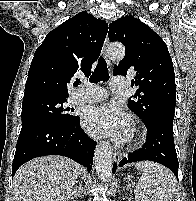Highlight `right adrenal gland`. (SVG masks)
Masks as SVG:
<instances>
[{
  "instance_id": "obj_1",
  "label": "right adrenal gland",
  "mask_w": 196,
  "mask_h": 201,
  "mask_svg": "<svg viewBox=\"0 0 196 201\" xmlns=\"http://www.w3.org/2000/svg\"><path fill=\"white\" fill-rule=\"evenodd\" d=\"M82 191H83V189H82V186L80 184L78 188H75L73 190V192L71 193V197L75 198V199H78L81 196Z\"/></svg>"
}]
</instances>
